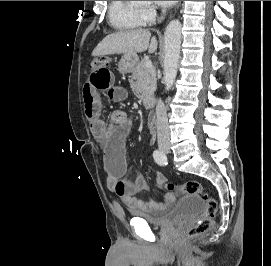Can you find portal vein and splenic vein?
<instances>
[{
	"instance_id": "18ae733b",
	"label": "portal vein and splenic vein",
	"mask_w": 271,
	"mask_h": 266,
	"mask_svg": "<svg viewBox=\"0 0 271 266\" xmlns=\"http://www.w3.org/2000/svg\"><path fill=\"white\" fill-rule=\"evenodd\" d=\"M146 67H152V62L151 61H147L146 62Z\"/></svg>"
}]
</instances>
